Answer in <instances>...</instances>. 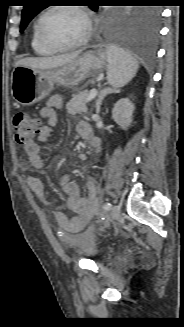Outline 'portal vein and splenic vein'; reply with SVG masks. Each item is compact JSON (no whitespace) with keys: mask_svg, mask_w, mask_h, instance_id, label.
Returning a JSON list of instances; mask_svg holds the SVG:
<instances>
[{"mask_svg":"<svg viewBox=\"0 0 184 327\" xmlns=\"http://www.w3.org/2000/svg\"><path fill=\"white\" fill-rule=\"evenodd\" d=\"M96 95H97V90L96 89H92L91 92H90V95H89V97L87 99V102L90 101V100H92V99H94L96 97Z\"/></svg>","mask_w":184,"mask_h":327,"instance_id":"1","label":"portal vein and splenic vein"}]
</instances>
